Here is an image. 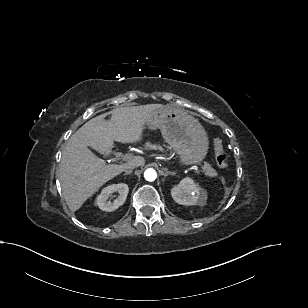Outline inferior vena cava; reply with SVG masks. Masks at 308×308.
Segmentation results:
<instances>
[{
    "mask_svg": "<svg viewBox=\"0 0 308 308\" xmlns=\"http://www.w3.org/2000/svg\"><path fill=\"white\" fill-rule=\"evenodd\" d=\"M137 166H139V165L136 164V163H129V164L127 165L125 171H126V172H129V171L132 172V170H133L135 167H137Z\"/></svg>",
    "mask_w": 308,
    "mask_h": 308,
    "instance_id": "1",
    "label": "inferior vena cava"
}]
</instances>
